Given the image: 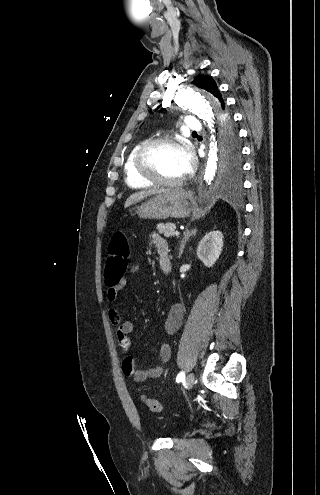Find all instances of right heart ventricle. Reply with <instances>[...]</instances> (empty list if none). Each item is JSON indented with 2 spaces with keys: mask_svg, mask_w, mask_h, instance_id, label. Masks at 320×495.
<instances>
[{
  "mask_svg": "<svg viewBox=\"0 0 320 495\" xmlns=\"http://www.w3.org/2000/svg\"><path fill=\"white\" fill-rule=\"evenodd\" d=\"M143 144H144V142H140L132 148V150L129 152V154L126 157L125 163L123 166L126 184L129 187L135 188V189L149 188L153 185V183L138 176L136 171H135V167H134L135 156H136L139 148Z\"/></svg>",
  "mask_w": 320,
  "mask_h": 495,
  "instance_id": "right-heart-ventricle-1",
  "label": "right heart ventricle"
}]
</instances>
